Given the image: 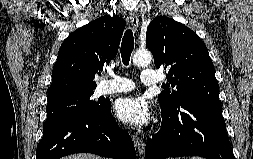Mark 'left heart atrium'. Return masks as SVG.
I'll return each mask as SVG.
<instances>
[{
  "label": "left heart atrium",
  "mask_w": 253,
  "mask_h": 159,
  "mask_svg": "<svg viewBox=\"0 0 253 159\" xmlns=\"http://www.w3.org/2000/svg\"><path fill=\"white\" fill-rule=\"evenodd\" d=\"M116 114L126 124L144 127L152 119V111L147 100L142 96L124 98L116 105Z\"/></svg>",
  "instance_id": "39dd6f15"
}]
</instances>
